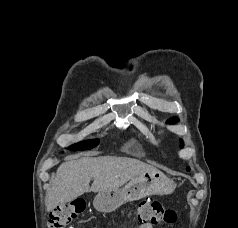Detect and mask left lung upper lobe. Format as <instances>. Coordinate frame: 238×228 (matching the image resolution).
Wrapping results in <instances>:
<instances>
[{
	"mask_svg": "<svg viewBox=\"0 0 238 228\" xmlns=\"http://www.w3.org/2000/svg\"><path fill=\"white\" fill-rule=\"evenodd\" d=\"M178 121V118H176V117H173V118H171V119H169L168 120V122L169 123H175V122H177ZM180 141H181V147L184 145V143H183V141L180 139ZM188 171L190 170V168L189 167H187L186 168Z\"/></svg>",
	"mask_w": 238,
	"mask_h": 228,
	"instance_id": "obj_1",
	"label": "left lung upper lobe"
}]
</instances>
